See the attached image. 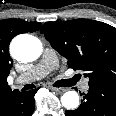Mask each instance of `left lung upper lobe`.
Returning <instances> with one entry per match:
<instances>
[{
  "label": "left lung upper lobe",
  "instance_id": "left-lung-upper-lobe-1",
  "mask_svg": "<svg viewBox=\"0 0 116 116\" xmlns=\"http://www.w3.org/2000/svg\"><path fill=\"white\" fill-rule=\"evenodd\" d=\"M74 70L85 71L89 86L116 87V28L95 20L46 22L41 30Z\"/></svg>",
  "mask_w": 116,
  "mask_h": 116
}]
</instances>
